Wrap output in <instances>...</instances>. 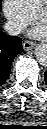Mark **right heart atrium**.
<instances>
[{
    "instance_id": "d8ad5b80",
    "label": "right heart atrium",
    "mask_w": 47,
    "mask_h": 129,
    "mask_svg": "<svg viewBox=\"0 0 47 129\" xmlns=\"http://www.w3.org/2000/svg\"><path fill=\"white\" fill-rule=\"evenodd\" d=\"M2 9L8 27L14 34L22 32L33 22L34 15L27 10L20 0H4Z\"/></svg>"
}]
</instances>
